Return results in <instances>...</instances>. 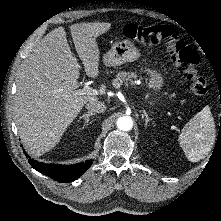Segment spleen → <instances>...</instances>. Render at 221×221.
Masks as SVG:
<instances>
[{
	"label": "spleen",
	"instance_id": "3e777b00",
	"mask_svg": "<svg viewBox=\"0 0 221 221\" xmlns=\"http://www.w3.org/2000/svg\"><path fill=\"white\" fill-rule=\"evenodd\" d=\"M215 139V124L209 106H205L185 124L178 138L187 159L191 162L204 159L212 150Z\"/></svg>",
	"mask_w": 221,
	"mask_h": 221
}]
</instances>
